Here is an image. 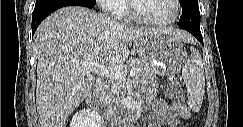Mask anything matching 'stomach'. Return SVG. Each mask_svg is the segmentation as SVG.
<instances>
[{
  "mask_svg": "<svg viewBox=\"0 0 243 127\" xmlns=\"http://www.w3.org/2000/svg\"><path fill=\"white\" fill-rule=\"evenodd\" d=\"M136 46L140 60L153 74H174L187 60L182 42L168 32H152Z\"/></svg>",
  "mask_w": 243,
  "mask_h": 127,
  "instance_id": "obj_1",
  "label": "stomach"
}]
</instances>
